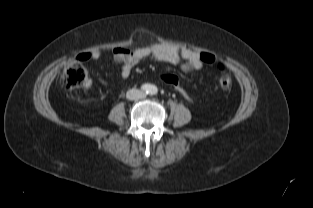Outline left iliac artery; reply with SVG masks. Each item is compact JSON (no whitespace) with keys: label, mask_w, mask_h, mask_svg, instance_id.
I'll return each mask as SVG.
<instances>
[{"label":"left iliac artery","mask_w":313,"mask_h":208,"mask_svg":"<svg viewBox=\"0 0 313 208\" xmlns=\"http://www.w3.org/2000/svg\"><path fill=\"white\" fill-rule=\"evenodd\" d=\"M157 92H158L157 87H156V86H152V87H151V90H150V94H151V95H156Z\"/></svg>","instance_id":"1"}]
</instances>
